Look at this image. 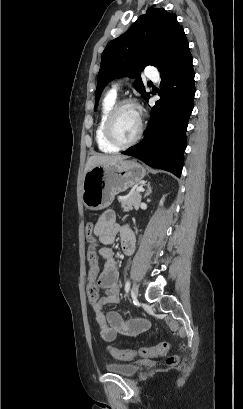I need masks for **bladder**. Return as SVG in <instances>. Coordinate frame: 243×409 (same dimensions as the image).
Here are the masks:
<instances>
[{"label": "bladder", "mask_w": 243, "mask_h": 409, "mask_svg": "<svg viewBox=\"0 0 243 409\" xmlns=\"http://www.w3.org/2000/svg\"><path fill=\"white\" fill-rule=\"evenodd\" d=\"M140 369L136 363L133 364H107L106 370L123 377H133Z\"/></svg>", "instance_id": "1"}]
</instances>
